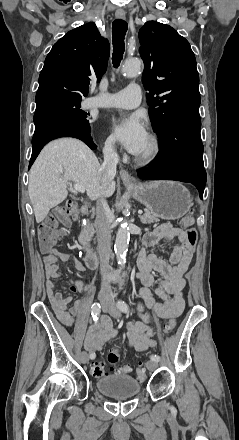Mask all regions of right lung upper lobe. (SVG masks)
Returning a JSON list of instances; mask_svg holds the SVG:
<instances>
[{
  "mask_svg": "<svg viewBox=\"0 0 239 440\" xmlns=\"http://www.w3.org/2000/svg\"><path fill=\"white\" fill-rule=\"evenodd\" d=\"M109 42L95 23L69 31L47 55L39 76L36 102L54 96H87L91 78L101 76L107 68Z\"/></svg>",
  "mask_w": 239,
  "mask_h": 440,
  "instance_id": "1",
  "label": "right lung upper lobe"
}]
</instances>
